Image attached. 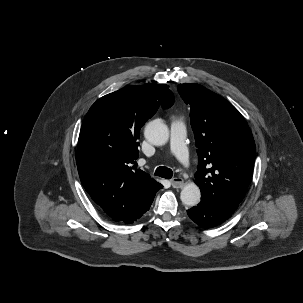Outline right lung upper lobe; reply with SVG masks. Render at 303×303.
Returning a JSON list of instances; mask_svg holds the SVG:
<instances>
[{
  "label": "right lung upper lobe",
  "mask_w": 303,
  "mask_h": 303,
  "mask_svg": "<svg viewBox=\"0 0 303 303\" xmlns=\"http://www.w3.org/2000/svg\"><path fill=\"white\" fill-rule=\"evenodd\" d=\"M164 84L129 86L98 99L84 118L76 153L86 192L113 220L137 211L161 184L132 164L139 132L158 107L172 106Z\"/></svg>",
  "instance_id": "right-lung-upper-lobe-1"
}]
</instances>
